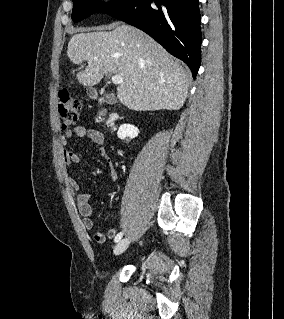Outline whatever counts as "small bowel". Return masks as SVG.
<instances>
[{"label": "small bowel", "mask_w": 284, "mask_h": 319, "mask_svg": "<svg viewBox=\"0 0 284 319\" xmlns=\"http://www.w3.org/2000/svg\"><path fill=\"white\" fill-rule=\"evenodd\" d=\"M88 138L90 141H92L94 144L98 146V153L101 157L105 159H109V156L107 154V151L104 147L105 142V136L104 134L94 128L87 129L83 126H76L72 130H66L64 135L61 138L62 145H66L69 140L72 139H81V138ZM63 160L65 164L71 165V164H77L80 162V156L73 151L70 150H64L63 152ZM111 178L115 180L117 178V173L115 170H112L111 172ZM69 184L73 190L79 191L80 185L79 183L73 179L69 178ZM77 208L82 216V221L84 228L87 230H91L93 228V220L91 218L93 214V206L90 202V194L88 193H79L77 195ZM116 229L111 228L108 230L107 234H104L102 232H95L94 233V240L98 243H103L107 238H113L116 237Z\"/></svg>", "instance_id": "small-bowel-1"}]
</instances>
